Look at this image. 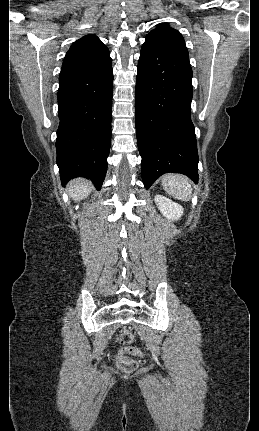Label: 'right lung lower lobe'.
Returning a JSON list of instances; mask_svg holds the SVG:
<instances>
[{
	"instance_id": "98d812e1",
	"label": "right lung lower lobe",
	"mask_w": 259,
	"mask_h": 431,
	"mask_svg": "<svg viewBox=\"0 0 259 431\" xmlns=\"http://www.w3.org/2000/svg\"><path fill=\"white\" fill-rule=\"evenodd\" d=\"M112 65L59 79L56 150L62 184L89 178L100 189L111 143Z\"/></svg>"
}]
</instances>
